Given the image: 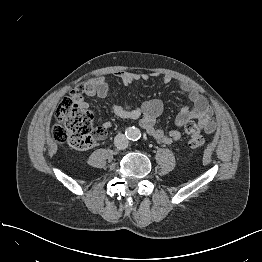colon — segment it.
Returning a JSON list of instances; mask_svg holds the SVG:
<instances>
[{
	"instance_id": "5ec220e1",
	"label": "colon",
	"mask_w": 262,
	"mask_h": 262,
	"mask_svg": "<svg viewBox=\"0 0 262 262\" xmlns=\"http://www.w3.org/2000/svg\"><path fill=\"white\" fill-rule=\"evenodd\" d=\"M56 123L50 127V134L57 143L68 142L77 150L90 147L93 143V112L80 99L73 95L62 98L56 110ZM182 131L189 137L188 145L198 150L204 145V137L194 121L182 126Z\"/></svg>"
}]
</instances>
